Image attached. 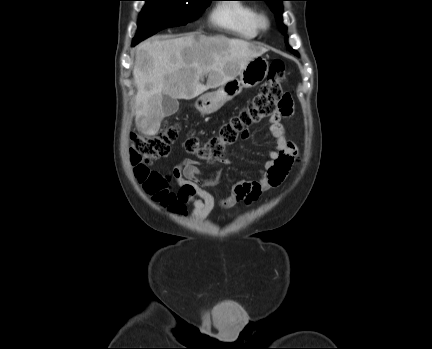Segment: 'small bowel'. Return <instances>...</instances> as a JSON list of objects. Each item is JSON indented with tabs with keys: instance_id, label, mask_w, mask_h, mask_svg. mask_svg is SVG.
<instances>
[{
	"instance_id": "small-bowel-1",
	"label": "small bowel",
	"mask_w": 432,
	"mask_h": 349,
	"mask_svg": "<svg viewBox=\"0 0 432 349\" xmlns=\"http://www.w3.org/2000/svg\"><path fill=\"white\" fill-rule=\"evenodd\" d=\"M291 114L292 107L287 113L277 112L269 118V130L276 146L269 151L268 160L260 171L259 179L236 182L232 193L221 200L223 206H231L240 201H255L262 192L275 188L284 181L299 157L297 146L288 139L282 124V119ZM172 174L180 186L178 198L181 205L192 204V216L199 220L206 219L213 211L216 200L205 186L216 184L219 174L209 178L203 177L197 162L190 158H185L178 163L173 168Z\"/></svg>"
}]
</instances>
